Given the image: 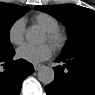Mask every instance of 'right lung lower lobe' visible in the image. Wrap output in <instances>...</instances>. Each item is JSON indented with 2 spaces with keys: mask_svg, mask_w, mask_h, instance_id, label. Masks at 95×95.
Returning <instances> with one entry per match:
<instances>
[{
  "mask_svg": "<svg viewBox=\"0 0 95 95\" xmlns=\"http://www.w3.org/2000/svg\"><path fill=\"white\" fill-rule=\"evenodd\" d=\"M14 55L15 51L0 57V65H7L5 71H0V95H19L23 80L34 71L26 60H12Z\"/></svg>",
  "mask_w": 95,
  "mask_h": 95,
  "instance_id": "obj_1",
  "label": "right lung lower lobe"
}]
</instances>
